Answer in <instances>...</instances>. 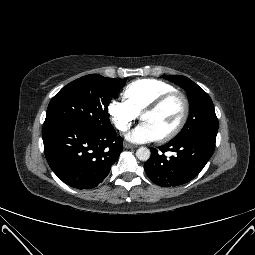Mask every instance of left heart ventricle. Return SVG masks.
Masks as SVG:
<instances>
[{
    "label": "left heart ventricle",
    "instance_id": "1",
    "mask_svg": "<svg viewBox=\"0 0 255 255\" xmlns=\"http://www.w3.org/2000/svg\"><path fill=\"white\" fill-rule=\"evenodd\" d=\"M182 111V100L179 97H173L156 111L144 115L142 121L148 123L161 137L176 126L181 118Z\"/></svg>",
    "mask_w": 255,
    "mask_h": 255
}]
</instances>
